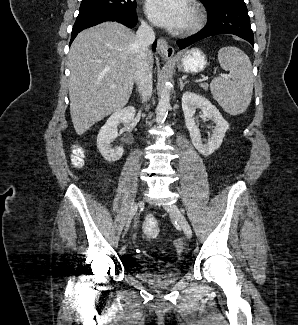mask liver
Segmentation results:
<instances>
[{
	"label": "liver",
	"instance_id": "1",
	"mask_svg": "<svg viewBox=\"0 0 298 325\" xmlns=\"http://www.w3.org/2000/svg\"><path fill=\"white\" fill-rule=\"evenodd\" d=\"M136 40V34L120 22L91 26L73 40L68 52L69 98L77 134L127 104L139 50Z\"/></svg>",
	"mask_w": 298,
	"mask_h": 325
}]
</instances>
